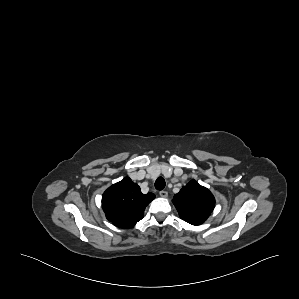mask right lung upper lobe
<instances>
[{"mask_svg": "<svg viewBox=\"0 0 299 299\" xmlns=\"http://www.w3.org/2000/svg\"><path fill=\"white\" fill-rule=\"evenodd\" d=\"M154 198L153 193L143 194L136 183L125 177L104 192L102 208L115 226L131 228L143 218L145 207Z\"/></svg>", "mask_w": 299, "mask_h": 299, "instance_id": "right-lung-upper-lobe-1", "label": "right lung upper lobe"}]
</instances>
